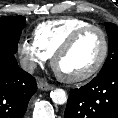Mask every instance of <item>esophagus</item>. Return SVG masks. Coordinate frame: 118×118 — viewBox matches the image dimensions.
Instances as JSON below:
<instances>
[{
    "label": "esophagus",
    "mask_w": 118,
    "mask_h": 118,
    "mask_svg": "<svg viewBox=\"0 0 118 118\" xmlns=\"http://www.w3.org/2000/svg\"><path fill=\"white\" fill-rule=\"evenodd\" d=\"M37 85H38V88L40 90H44V91H48V90H51L53 89V86L48 84L44 79L40 78L38 79L37 81Z\"/></svg>",
    "instance_id": "1"
}]
</instances>
